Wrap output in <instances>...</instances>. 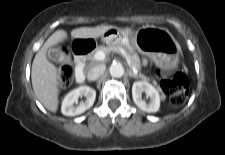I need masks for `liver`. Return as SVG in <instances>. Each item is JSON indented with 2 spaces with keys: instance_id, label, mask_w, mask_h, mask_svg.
<instances>
[{
  "instance_id": "1",
  "label": "liver",
  "mask_w": 225,
  "mask_h": 155,
  "mask_svg": "<svg viewBox=\"0 0 225 155\" xmlns=\"http://www.w3.org/2000/svg\"><path fill=\"white\" fill-rule=\"evenodd\" d=\"M116 28L111 25L99 27H81L71 31L75 39H96L108 30ZM67 32L58 30L53 33L36 53L32 64L31 81L34 93L40 103L49 111L56 112L59 105V85L61 83V70L49 62L46 57L48 48L66 40Z\"/></svg>"
}]
</instances>
